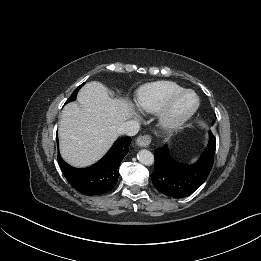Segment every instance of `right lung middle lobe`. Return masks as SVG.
<instances>
[{"mask_svg": "<svg viewBox=\"0 0 261 261\" xmlns=\"http://www.w3.org/2000/svg\"><path fill=\"white\" fill-rule=\"evenodd\" d=\"M85 83L81 84L79 87H77L75 89V91L72 93V95L70 96V98L66 101V103L70 102V101H74L76 99L77 96V92L79 91V89L81 88V86H83Z\"/></svg>", "mask_w": 261, "mask_h": 261, "instance_id": "obj_1", "label": "right lung middle lobe"}]
</instances>
